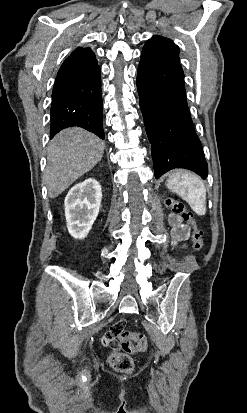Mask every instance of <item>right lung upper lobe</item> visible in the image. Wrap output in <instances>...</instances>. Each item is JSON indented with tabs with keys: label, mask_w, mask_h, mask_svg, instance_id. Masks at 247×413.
I'll list each match as a JSON object with an SVG mask.
<instances>
[{
	"label": "right lung upper lobe",
	"mask_w": 247,
	"mask_h": 413,
	"mask_svg": "<svg viewBox=\"0 0 247 413\" xmlns=\"http://www.w3.org/2000/svg\"><path fill=\"white\" fill-rule=\"evenodd\" d=\"M96 56L90 48L78 47L71 55L63 62L62 67L73 65V64H84L88 62H95Z\"/></svg>",
	"instance_id": "right-lung-upper-lobe-1"
}]
</instances>
